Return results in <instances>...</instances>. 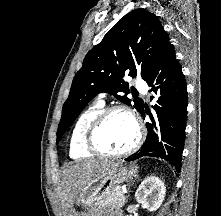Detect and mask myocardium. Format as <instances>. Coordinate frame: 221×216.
Here are the masks:
<instances>
[{"label": "myocardium", "mask_w": 221, "mask_h": 216, "mask_svg": "<svg viewBox=\"0 0 221 216\" xmlns=\"http://www.w3.org/2000/svg\"><path fill=\"white\" fill-rule=\"evenodd\" d=\"M122 112L128 115L133 121L136 127V138L130 147L121 152H108L101 148L97 143V133L105 122V120L112 114ZM145 130L142 123V120L130 107L126 105H113L107 108H104L88 125L85 132V147L88 151L93 154L103 156V157H124L133 153L142 143L144 138Z\"/></svg>", "instance_id": "1"}]
</instances>
